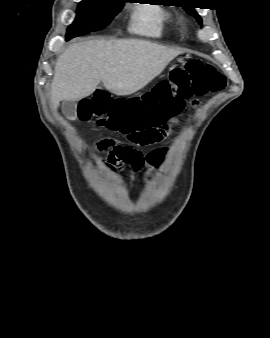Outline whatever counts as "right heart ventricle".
<instances>
[{"label":"right heart ventricle","instance_id":"obj_1","mask_svg":"<svg viewBox=\"0 0 270 338\" xmlns=\"http://www.w3.org/2000/svg\"><path fill=\"white\" fill-rule=\"evenodd\" d=\"M164 5L137 6L133 30L141 35L160 38L174 27L173 14Z\"/></svg>","mask_w":270,"mask_h":338}]
</instances>
